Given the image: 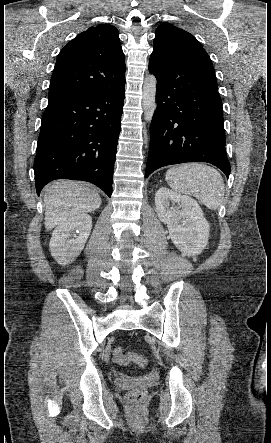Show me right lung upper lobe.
I'll return each mask as SVG.
<instances>
[{
  "mask_svg": "<svg viewBox=\"0 0 271 443\" xmlns=\"http://www.w3.org/2000/svg\"><path fill=\"white\" fill-rule=\"evenodd\" d=\"M125 70L118 30L110 24L91 27L59 53L48 99L115 88L125 83Z\"/></svg>",
  "mask_w": 271,
  "mask_h": 443,
  "instance_id": "right-lung-upper-lobe-1",
  "label": "right lung upper lobe"
}]
</instances>
